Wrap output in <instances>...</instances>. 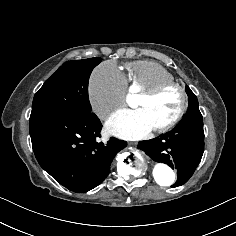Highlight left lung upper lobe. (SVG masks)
Returning <instances> with one entry per match:
<instances>
[{"instance_id":"5c2ea615","label":"left lung upper lobe","mask_w":236,"mask_h":236,"mask_svg":"<svg viewBox=\"0 0 236 236\" xmlns=\"http://www.w3.org/2000/svg\"><path fill=\"white\" fill-rule=\"evenodd\" d=\"M186 92L188 94L189 108L187 113L184 115L182 120L186 119H202V115L199 111L198 100L195 94L191 91V89L186 86Z\"/></svg>"}]
</instances>
